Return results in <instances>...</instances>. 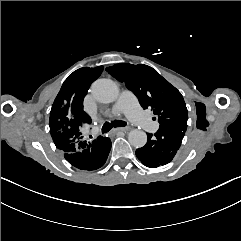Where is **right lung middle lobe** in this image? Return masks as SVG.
I'll return each mask as SVG.
<instances>
[{"label":"right lung middle lobe","mask_w":241,"mask_h":241,"mask_svg":"<svg viewBox=\"0 0 241 241\" xmlns=\"http://www.w3.org/2000/svg\"><path fill=\"white\" fill-rule=\"evenodd\" d=\"M90 69L91 68H88V67H84V68H80L78 70H76L78 72V74L80 75H86L90 72Z\"/></svg>","instance_id":"dd1d6c3e"}]
</instances>
